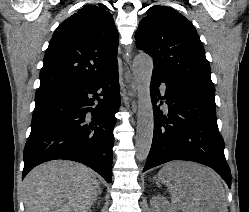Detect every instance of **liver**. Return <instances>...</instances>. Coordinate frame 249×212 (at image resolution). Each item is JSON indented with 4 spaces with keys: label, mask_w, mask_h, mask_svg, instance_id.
<instances>
[{
    "label": "liver",
    "mask_w": 249,
    "mask_h": 212,
    "mask_svg": "<svg viewBox=\"0 0 249 212\" xmlns=\"http://www.w3.org/2000/svg\"><path fill=\"white\" fill-rule=\"evenodd\" d=\"M161 178L171 192L172 210L228 212L220 176L194 162H171ZM160 182V180H159ZM161 182V184H163ZM100 192L94 172L76 164L54 160L41 164L24 180L26 212H89Z\"/></svg>",
    "instance_id": "1"
}]
</instances>
